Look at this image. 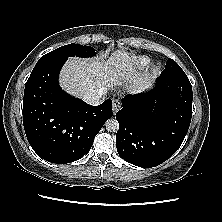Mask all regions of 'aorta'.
Returning <instances> with one entry per match:
<instances>
[{"mask_svg": "<svg viewBox=\"0 0 222 222\" xmlns=\"http://www.w3.org/2000/svg\"><path fill=\"white\" fill-rule=\"evenodd\" d=\"M106 130L109 132H117L119 129V123L116 119H108L105 123Z\"/></svg>", "mask_w": 222, "mask_h": 222, "instance_id": "1", "label": "aorta"}]
</instances>
